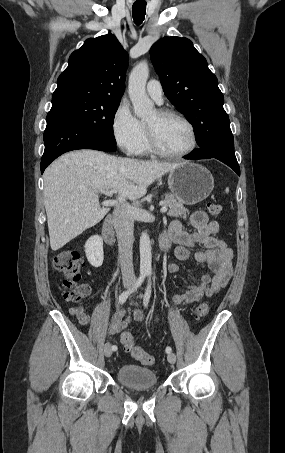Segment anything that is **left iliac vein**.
<instances>
[{
  "label": "left iliac vein",
  "instance_id": "4c4485c4",
  "mask_svg": "<svg viewBox=\"0 0 285 453\" xmlns=\"http://www.w3.org/2000/svg\"><path fill=\"white\" fill-rule=\"evenodd\" d=\"M167 360L169 363L174 364L176 362V355L174 353H168Z\"/></svg>",
  "mask_w": 285,
  "mask_h": 453
}]
</instances>
